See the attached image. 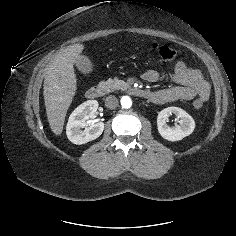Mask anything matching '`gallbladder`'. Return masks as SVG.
<instances>
[{
	"label": "gallbladder",
	"mask_w": 236,
	"mask_h": 236,
	"mask_svg": "<svg viewBox=\"0 0 236 236\" xmlns=\"http://www.w3.org/2000/svg\"><path fill=\"white\" fill-rule=\"evenodd\" d=\"M76 67L84 75L90 74L93 71L91 60L83 55H81V57L77 59Z\"/></svg>",
	"instance_id": "obj_1"
}]
</instances>
